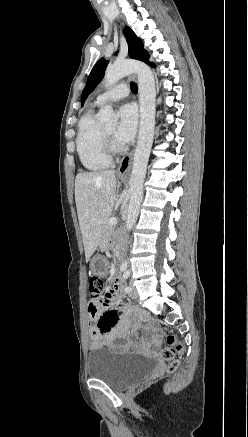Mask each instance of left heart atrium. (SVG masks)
<instances>
[{"mask_svg": "<svg viewBox=\"0 0 248 437\" xmlns=\"http://www.w3.org/2000/svg\"><path fill=\"white\" fill-rule=\"evenodd\" d=\"M137 110L133 104H125L119 110V123L114 138L119 144L130 142L136 131Z\"/></svg>", "mask_w": 248, "mask_h": 437, "instance_id": "39dd6f15", "label": "left heart atrium"}]
</instances>
